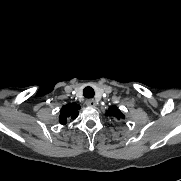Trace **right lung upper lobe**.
<instances>
[{
	"label": "right lung upper lobe",
	"mask_w": 181,
	"mask_h": 181,
	"mask_svg": "<svg viewBox=\"0 0 181 181\" xmlns=\"http://www.w3.org/2000/svg\"><path fill=\"white\" fill-rule=\"evenodd\" d=\"M79 109L80 105L76 103H68L64 105L60 110L59 122L62 125H65L68 119H75L78 116Z\"/></svg>",
	"instance_id": "right-lung-upper-lobe-1"
}]
</instances>
